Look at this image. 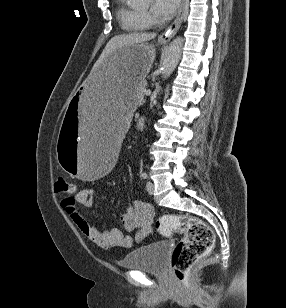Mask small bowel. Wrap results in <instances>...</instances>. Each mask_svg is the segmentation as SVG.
Masks as SVG:
<instances>
[{"mask_svg":"<svg viewBox=\"0 0 286 308\" xmlns=\"http://www.w3.org/2000/svg\"><path fill=\"white\" fill-rule=\"evenodd\" d=\"M93 196V189L83 188L78 190L73 197L64 198L61 205L79 230L95 246L103 250L130 247L133 243V236L124 234L119 228L99 229L78 210L77 205L90 207ZM153 215L154 211L150 204L133 200L130 206L119 214L118 219L125 231L137 232L136 238L139 239L151 229Z\"/></svg>","mask_w":286,"mask_h":308,"instance_id":"small-bowel-1","label":"small bowel"}]
</instances>
